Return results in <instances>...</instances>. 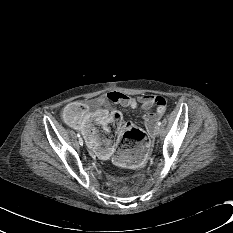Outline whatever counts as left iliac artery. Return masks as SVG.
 I'll list each match as a JSON object with an SVG mask.
<instances>
[{
    "label": "left iliac artery",
    "mask_w": 233,
    "mask_h": 233,
    "mask_svg": "<svg viewBox=\"0 0 233 233\" xmlns=\"http://www.w3.org/2000/svg\"><path fill=\"white\" fill-rule=\"evenodd\" d=\"M158 125H159V126L161 125V122H160V121L158 122Z\"/></svg>",
    "instance_id": "1"
}]
</instances>
